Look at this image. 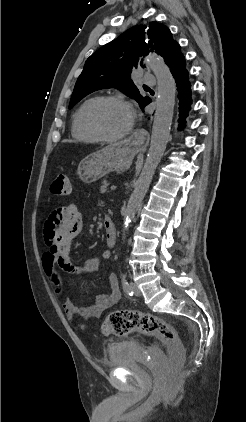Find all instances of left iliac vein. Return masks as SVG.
Returning <instances> with one entry per match:
<instances>
[{"label": "left iliac vein", "mask_w": 246, "mask_h": 422, "mask_svg": "<svg viewBox=\"0 0 246 422\" xmlns=\"http://www.w3.org/2000/svg\"><path fill=\"white\" fill-rule=\"evenodd\" d=\"M131 288L136 296H141V291L135 283H131Z\"/></svg>", "instance_id": "1"}]
</instances>
